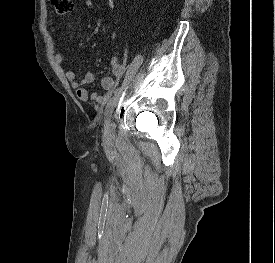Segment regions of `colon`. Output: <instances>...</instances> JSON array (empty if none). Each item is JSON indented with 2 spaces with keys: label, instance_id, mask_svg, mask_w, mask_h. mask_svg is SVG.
Masks as SVG:
<instances>
[{
  "label": "colon",
  "instance_id": "5ec220e1",
  "mask_svg": "<svg viewBox=\"0 0 275 263\" xmlns=\"http://www.w3.org/2000/svg\"><path fill=\"white\" fill-rule=\"evenodd\" d=\"M54 13L58 16L69 13L74 6V0H50Z\"/></svg>",
  "mask_w": 275,
  "mask_h": 263
}]
</instances>
